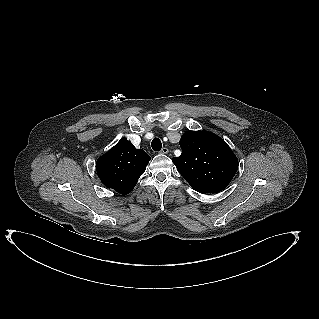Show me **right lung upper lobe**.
<instances>
[{
	"mask_svg": "<svg viewBox=\"0 0 319 319\" xmlns=\"http://www.w3.org/2000/svg\"><path fill=\"white\" fill-rule=\"evenodd\" d=\"M150 159L144 150L121 139L97 160L96 170L104 185L126 195L134 188Z\"/></svg>",
	"mask_w": 319,
	"mask_h": 319,
	"instance_id": "1",
	"label": "right lung upper lobe"
}]
</instances>
